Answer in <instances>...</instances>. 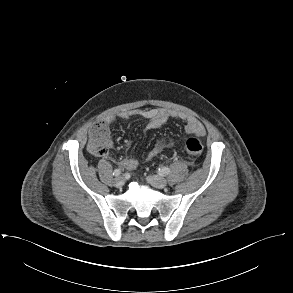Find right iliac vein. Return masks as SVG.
<instances>
[{
    "label": "right iliac vein",
    "mask_w": 293,
    "mask_h": 293,
    "mask_svg": "<svg viewBox=\"0 0 293 293\" xmlns=\"http://www.w3.org/2000/svg\"><path fill=\"white\" fill-rule=\"evenodd\" d=\"M124 184H125V179L122 176H119L115 179L116 187L121 188L124 186Z\"/></svg>",
    "instance_id": "obj_1"
}]
</instances>
